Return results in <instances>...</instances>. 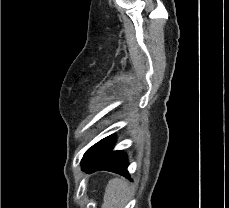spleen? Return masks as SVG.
Listing matches in <instances>:
<instances>
[{
	"mask_svg": "<svg viewBox=\"0 0 229 208\" xmlns=\"http://www.w3.org/2000/svg\"><path fill=\"white\" fill-rule=\"evenodd\" d=\"M130 200V190L124 178H113L107 184L102 208H125Z\"/></svg>",
	"mask_w": 229,
	"mask_h": 208,
	"instance_id": "obj_1",
	"label": "spleen"
}]
</instances>
